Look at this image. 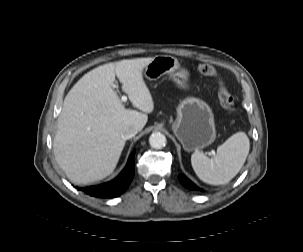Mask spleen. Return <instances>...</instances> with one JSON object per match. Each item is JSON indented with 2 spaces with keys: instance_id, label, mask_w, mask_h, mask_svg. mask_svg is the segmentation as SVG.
Returning a JSON list of instances; mask_svg holds the SVG:
<instances>
[{
  "instance_id": "spleen-1",
  "label": "spleen",
  "mask_w": 303,
  "mask_h": 252,
  "mask_svg": "<svg viewBox=\"0 0 303 252\" xmlns=\"http://www.w3.org/2000/svg\"><path fill=\"white\" fill-rule=\"evenodd\" d=\"M250 149L245 132H237L218 146L214 157L202 152L191 155V164L196 175L205 183L222 185L233 179L243 167Z\"/></svg>"
}]
</instances>
